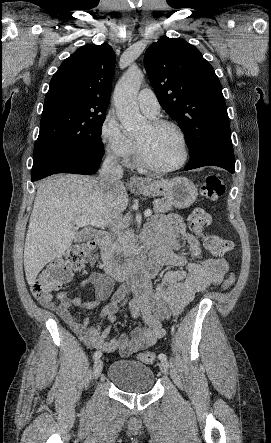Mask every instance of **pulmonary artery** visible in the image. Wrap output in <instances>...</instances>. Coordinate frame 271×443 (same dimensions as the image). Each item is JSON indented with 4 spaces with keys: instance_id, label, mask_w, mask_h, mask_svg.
<instances>
[{
    "instance_id": "1",
    "label": "pulmonary artery",
    "mask_w": 271,
    "mask_h": 443,
    "mask_svg": "<svg viewBox=\"0 0 271 443\" xmlns=\"http://www.w3.org/2000/svg\"><path fill=\"white\" fill-rule=\"evenodd\" d=\"M137 104L148 117H154L160 110L158 100L151 89H143L137 95Z\"/></svg>"
}]
</instances>
